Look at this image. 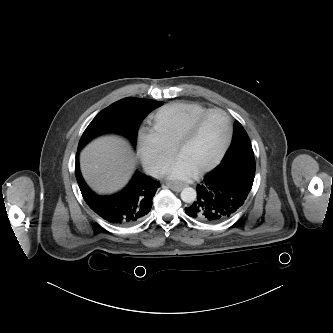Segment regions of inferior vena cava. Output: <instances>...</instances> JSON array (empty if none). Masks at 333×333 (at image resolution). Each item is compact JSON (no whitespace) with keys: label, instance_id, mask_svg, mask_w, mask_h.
I'll return each instance as SVG.
<instances>
[{"label":"inferior vena cava","instance_id":"obj_1","mask_svg":"<svg viewBox=\"0 0 333 333\" xmlns=\"http://www.w3.org/2000/svg\"><path fill=\"white\" fill-rule=\"evenodd\" d=\"M153 176L155 178H162L164 176V170L157 168L153 171Z\"/></svg>","mask_w":333,"mask_h":333}]
</instances>
